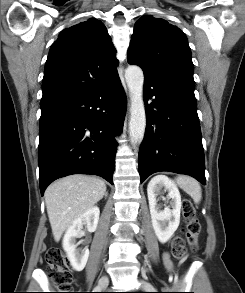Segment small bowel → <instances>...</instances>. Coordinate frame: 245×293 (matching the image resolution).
Segmentation results:
<instances>
[{"label":"small bowel","instance_id":"c3829d8e","mask_svg":"<svg viewBox=\"0 0 245 293\" xmlns=\"http://www.w3.org/2000/svg\"><path fill=\"white\" fill-rule=\"evenodd\" d=\"M164 264L168 271H173V264L167 254L164 255Z\"/></svg>","mask_w":245,"mask_h":293}]
</instances>
